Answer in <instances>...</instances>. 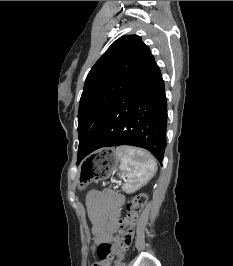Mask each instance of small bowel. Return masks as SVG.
I'll use <instances>...</instances> for the list:
<instances>
[{"mask_svg":"<svg viewBox=\"0 0 233 266\" xmlns=\"http://www.w3.org/2000/svg\"><path fill=\"white\" fill-rule=\"evenodd\" d=\"M123 198L112 192H97L87 199V211L96 245L108 244L118 226Z\"/></svg>","mask_w":233,"mask_h":266,"instance_id":"small-bowel-1","label":"small bowel"}]
</instances>
